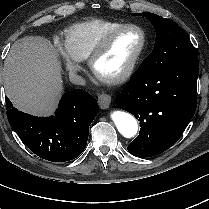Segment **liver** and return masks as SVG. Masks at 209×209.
<instances>
[{"label":"liver","mask_w":209,"mask_h":209,"mask_svg":"<svg viewBox=\"0 0 209 209\" xmlns=\"http://www.w3.org/2000/svg\"><path fill=\"white\" fill-rule=\"evenodd\" d=\"M3 83L18 109L35 115L52 114L63 89L56 50L43 38L17 40L4 62Z\"/></svg>","instance_id":"obj_1"}]
</instances>
